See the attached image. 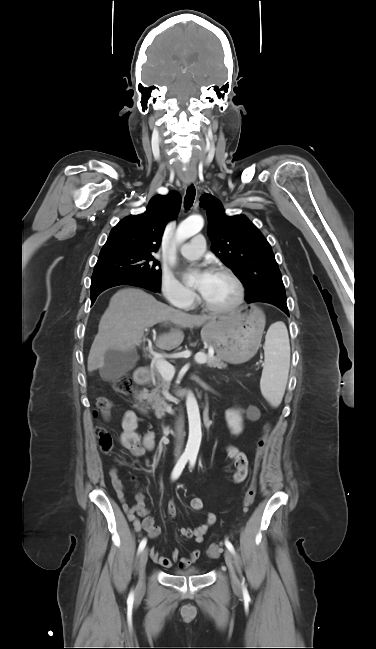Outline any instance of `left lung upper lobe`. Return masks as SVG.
Instances as JSON below:
<instances>
[{
  "label": "left lung upper lobe",
  "instance_id": "left-lung-upper-lobe-1",
  "mask_svg": "<svg viewBox=\"0 0 376 649\" xmlns=\"http://www.w3.org/2000/svg\"><path fill=\"white\" fill-rule=\"evenodd\" d=\"M213 252L246 284V301L286 304L284 284L273 251L259 229L245 216H226L222 204L203 194Z\"/></svg>",
  "mask_w": 376,
  "mask_h": 649
}]
</instances>
